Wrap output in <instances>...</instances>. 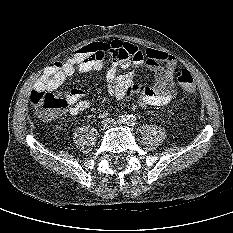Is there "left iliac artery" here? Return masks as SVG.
Instances as JSON below:
<instances>
[{"mask_svg": "<svg viewBox=\"0 0 233 233\" xmlns=\"http://www.w3.org/2000/svg\"><path fill=\"white\" fill-rule=\"evenodd\" d=\"M135 121H136L135 117L131 115V116H129V118H128L127 124H128L129 126H134V125H135Z\"/></svg>", "mask_w": 233, "mask_h": 233, "instance_id": "44dca946", "label": "left iliac artery"}]
</instances>
